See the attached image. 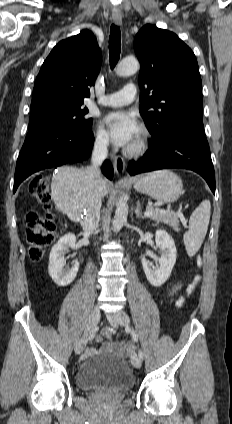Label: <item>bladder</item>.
<instances>
[{
  "instance_id": "bladder-1",
  "label": "bladder",
  "mask_w": 232,
  "mask_h": 424,
  "mask_svg": "<svg viewBox=\"0 0 232 424\" xmlns=\"http://www.w3.org/2000/svg\"><path fill=\"white\" fill-rule=\"evenodd\" d=\"M76 383L85 391L107 389L125 392L134 386L135 377L124 358L94 356L79 366Z\"/></svg>"
}]
</instances>
